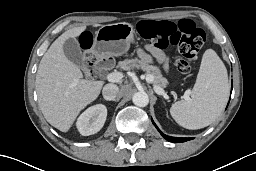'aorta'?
<instances>
[{"instance_id":"obj_1","label":"aorta","mask_w":256,"mask_h":171,"mask_svg":"<svg viewBox=\"0 0 256 171\" xmlns=\"http://www.w3.org/2000/svg\"><path fill=\"white\" fill-rule=\"evenodd\" d=\"M132 101L136 106L145 107L149 103V97L146 92L140 91L133 95Z\"/></svg>"}]
</instances>
